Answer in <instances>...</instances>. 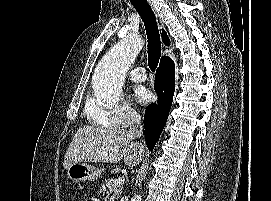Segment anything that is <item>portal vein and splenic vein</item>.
<instances>
[{"mask_svg":"<svg viewBox=\"0 0 271 201\" xmlns=\"http://www.w3.org/2000/svg\"><path fill=\"white\" fill-rule=\"evenodd\" d=\"M124 184V178L118 177L116 180H114L113 186H121Z\"/></svg>","mask_w":271,"mask_h":201,"instance_id":"obj_1","label":"portal vein and splenic vein"}]
</instances>
